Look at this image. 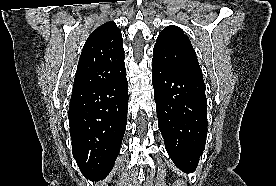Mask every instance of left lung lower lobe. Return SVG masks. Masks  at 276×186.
Here are the masks:
<instances>
[{"label":"left lung lower lobe","mask_w":276,"mask_h":186,"mask_svg":"<svg viewBox=\"0 0 276 186\" xmlns=\"http://www.w3.org/2000/svg\"><path fill=\"white\" fill-rule=\"evenodd\" d=\"M152 83L166 150L179 169L193 172L207 135L204 81L153 63Z\"/></svg>","instance_id":"0a47b994"}]
</instances>
